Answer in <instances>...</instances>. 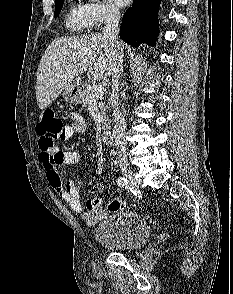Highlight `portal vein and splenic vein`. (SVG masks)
Instances as JSON below:
<instances>
[{"mask_svg": "<svg viewBox=\"0 0 233 294\" xmlns=\"http://www.w3.org/2000/svg\"><path fill=\"white\" fill-rule=\"evenodd\" d=\"M104 93V86L102 84H96L94 87H93V94L95 96H99V95H102Z\"/></svg>", "mask_w": 233, "mask_h": 294, "instance_id": "obj_1", "label": "portal vein and splenic vein"}]
</instances>
